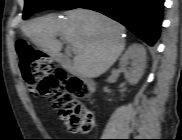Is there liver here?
<instances>
[{"label":"liver","instance_id":"1","mask_svg":"<svg viewBox=\"0 0 182 140\" xmlns=\"http://www.w3.org/2000/svg\"><path fill=\"white\" fill-rule=\"evenodd\" d=\"M66 15L65 20L52 14L32 19L22 27V32L52 56L62 49L56 38L59 35L77 49L73 59L77 74L88 78L102 75L125 48V27L88 9L77 8Z\"/></svg>","mask_w":182,"mask_h":140}]
</instances>
